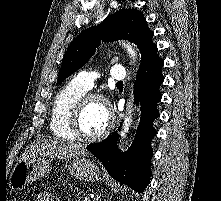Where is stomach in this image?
Returning <instances> with one entry per match:
<instances>
[{"label":"stomach","mask_w":221,"mask_h":201,"mask_svg":"<svg viewBox=\"0 0 221 201\" xmlns=\"http://www.w3.org/2000/svg\"><path fill=\"white\" fill-rule=\"evenodd\" d=\"M51 162L45 157L33 156L19 160L10 175L9 184L14 190H22L28 184L46 176L51 171ZM70 174L80 180L95 182L100 179L98 167L85 156L69 162Z\"/></svg>","instance_id":"obj_1"}]
</instances>
